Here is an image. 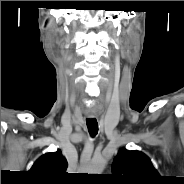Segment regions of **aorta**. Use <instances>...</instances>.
Listing matches in <instances>:
<instances>
[{
	"label": "aorta",
	"mask_w": 184,
	"mask_h": 184,
	"mask_svg": "<svg viewBox=\"0 0 184 184\" xmlns=\"http://www.w3.org/2000/svg\"><path fill=\"white\" fill-rule=\"evenodd\" d=\"M104 167V160H93L92 163L88 166L87 171L89 174H101Z\"/></svg>",
	"instance_id": "aorta-1"
}]
</instances>
